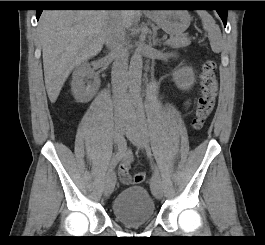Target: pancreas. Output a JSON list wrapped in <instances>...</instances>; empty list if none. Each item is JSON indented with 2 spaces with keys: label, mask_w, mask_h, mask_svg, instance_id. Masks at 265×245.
Masks as SVG:
<instances>
[{
  "label": "pancreas",
  "mask_w": 265,
  "mask_h": 245,
  "mask_svg": "<svg viewBox=\"0 0 265 245\" xmlns=\"http://www.w3.org/2000/svg\"><path fill=\"white\" fill-rule=\"evenodd\" d=\"M171 39L172 41L167 45H170L173 48L186 47L191 43L190 39L187 38L185 35L175 36L172 37Z\"/></svg>",
  "instance_id": "cf45deb5"
}]
</instances>
